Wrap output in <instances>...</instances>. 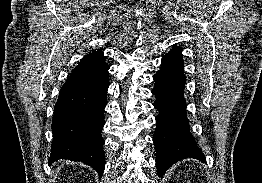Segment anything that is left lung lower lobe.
I'll use <instances>...</instances> for the list:
<instances>
[{"label": "left lung lower lobe", "mask_w": 262, "mask_h": 183, "mask_svg": "<svg viewBox=\"0 0 262 183\" xmlns=\"http://www.w3.org/2000/svg\"><path fill=\"white\" fill-rule=\"evenodd\" d=\"M183 67L182 49L174 47L163 57L161 68L154 75L152 94L157 99L153 105L159 114L156 116L153 142L159 175L182 159L194 158L205 162L189 130Z\"/></svg>", "instance_id": "obj_1"}]
</instances>
